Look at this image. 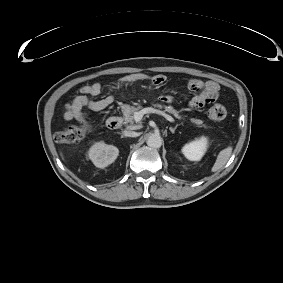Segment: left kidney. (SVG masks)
Here are the masks:
<instances>
[{
	"mask_svg": "<svg viewBox=\"0 0 283 283\" xmlns=\"http://www.w3.org/2000/svg\"><path fill=\"white\" fill-rule=\"evenodd\" d=\"M207 138L201 137L182 148L184 156L191 161H199L207 149Z\"/></svg>",
	"mask_w": 283,
	"mask_h": 283,
	"instance_id": "left-kidney-1",
	"label": "left kidney"
}]
</instances>
